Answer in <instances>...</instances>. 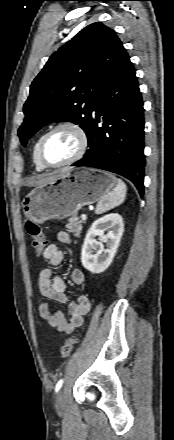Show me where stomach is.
<instances>
[{
	"label": "stomach",
	"mask_w": 174,
	"mask_h": 440,
	"mask_svg": "<svg viewBox=\"0 0 174 440\" xmlns=\"http://www.w3.org/2000/svg\"><path fill=\"white\" fill-rule=\"evenodd\" d=\"M116 183V177L108 172L90 168L69 170L36 186L23 199L22 209L26 218L36 223L65 219L102 199Z\"/></svg>",
	"instance_id": "1"
}]
</instances>
